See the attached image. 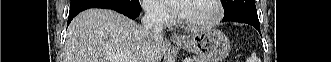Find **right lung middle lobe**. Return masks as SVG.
Wrapping results in <instances>:
<instances>
[{"label":"right lung middle lobe","mask_w":331,"mask_h":62,"mask_svg":"<svg viewBox=\"0 0 331 62\" xmlns=\"http://www.w3.org/2000/svg\"><path fill=\"white\" fill-rule=\"evenodd\" d=\"M82 1H85V0H71L70 5H74V4L80 3ZM108 1L120 4V5H123L126 7H130V8H137L140 6L139 0H108Z\"/></svg>","instance_id":"right-lung-middle-lobe-1"}]
</instances>
